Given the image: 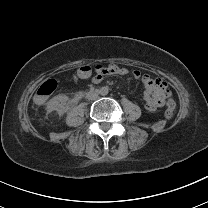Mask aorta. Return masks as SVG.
Segmentation results:
<instances>
[{
  "mask_svg": "<svg viewBox=\"0 0 208 208\" xmlns=\"http://www.w3.org/2000/svg\"><path fill=\"white\" fill-rule=\"evenodd\" d=\"M109 92H110V89L106 85L101 86L98 90L99 95L102 97L107 96L109 94Z\"/></svg>",
  "mask_w": 208,
  "mask_h": 208,
  "instance_id": "obj_1",
  "label": "aorta"
}]
</instances>
